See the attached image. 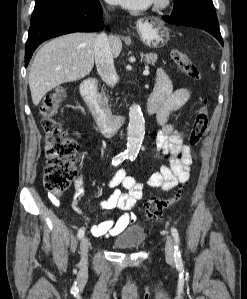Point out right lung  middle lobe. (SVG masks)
<instances>
[{"mask_svg": "<svg viewBox=\"0 0 247 299\" xmlns=\"http://www.w3.org/2000/svg\"><path fill=\"white\" fill-rule=\"evenodd\" d=\"M93 1L94 0H35V7L30 24H33L58 10Z\"/></svg>", "mask_w": 247, "mask_h": 299, "instance_id": "1", "label": "right lung middle lobe"}]
</instances>
